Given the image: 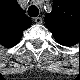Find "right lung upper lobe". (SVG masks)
<instances>
[{"label": "right lung upper lobe", "mask_w": 80, "mask_h": 80, "mask_svg": "<svg viewBox=\"0 0 80 80\" xmlns=\"http://www.w3.org/2000/svg\"><path fill=\"white\" fill-rule=\"evenodd\" d=\"M0 18V41L6 47L16 45L20 41L23 31L32 24L16 2H11L7 9L3 8Z\"/></svg>", "instance_id": "right-lung-upper-lobe-1"}]
</instances>
